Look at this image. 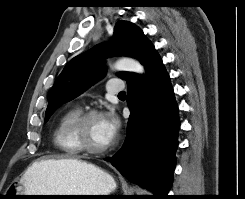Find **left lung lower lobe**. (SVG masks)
<instances>
[{
  "label": "left lung lower lobe",
  "mask_w": 245,
  "mask_h": 199,
  "mask_svg": "<svg viewBox=\"0 0 245 199\" xmlns=\"http://www.w3.org/2000/svg\"><path fill=\"white\" fill-rule=\"evenodd\" d=\"M146 77L127 81L131 111L128 136L120 151L105 160L129 181L164 199L171 187L180 127L170 78L156 51L145 63Z\"/></svg>",
  "instance_id": "left-lung-lower-lobe-1"
}]
</instances>
